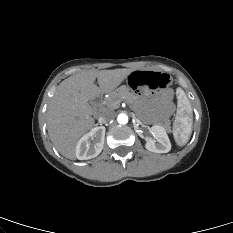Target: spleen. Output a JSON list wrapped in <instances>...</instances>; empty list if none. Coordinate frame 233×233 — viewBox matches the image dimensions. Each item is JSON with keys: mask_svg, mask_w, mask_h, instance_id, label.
Here are the masks:
<instances>
[{"mask_svg": "<svg viewBox=\"0 0 233 233\" xmlns=\"http://www.w3.org/2000/svg\"><path fill=\"white\" fill-rule=\"evenodd\" d=\"M178 104L177 115L173 126V136L179 146H184L191 135L193 124V113L189 99L185 92L178 88L176 90Z\"/></svg>", "mask_w": 233, "mask_h": 233, "instance_id": "spleen-1", "label": "spleen"}]
</instances>
